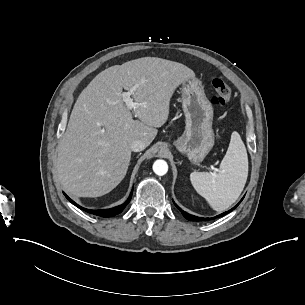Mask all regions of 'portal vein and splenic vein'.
<instances>
[{
	"label": "portal vein and splenic vein",
	"instance_id": "obj_1",
	"mask_svg": "<svg viewBox=\"0 0 305 305\" xmlns=\"http://www.w3.org/2000/svg\"><path fill=\"white\" fill-rule=\"evenodd\" d=\"M138 87H139V85L135 84L128 92L122 93V99L126 103L127 108L130 110L136 108L137 106H144V107L146 106V103L133 102V99L130 97L136 91V89ZM215 171H217V169H215ZM213 174H215V173H213Z\"/></svg>",
	"mask_w": 305,
	"mask_h": 305
}]
</instances>
